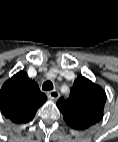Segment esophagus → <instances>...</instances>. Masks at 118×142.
<instances>
[{
    "mask_svg": "<svg viewBox=\"0 0 118 142\" xmlns=\"http://www.w3.org/2000/svg\"><path fill=\"white\" fill-rule=\"evenodd\" d=\"M47 95L52 100H57L59 98V92L57 90H51L47 93Z\"/></svg>",
    "mask_w": 118,
    "mask_h": 142,
    "instance_id": "34e87169",
    "label": "esophagus"
}]
</instances>
